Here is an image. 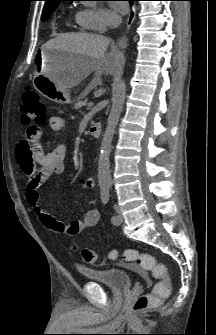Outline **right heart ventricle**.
<instances>
[{
  "mask_svg": "<svg viewBox=\"0 0 216 335\" xmlns=\"http://www.w3.org/2000/svg\"><path fill=\"white\" fill-rule=\"evenodd\" d=\"M74 22L76 24V26H78L79 28H82V29H87L85 27V25L82 23L80 17H79V13H76L75 17H74Z\"/></svg>",
  "mask_w": 216,
  "mask_h": 335,
  "instance_id": "right-heart-ventricle-1",
  "label": "right heart ventricle"
}]
</instances>
